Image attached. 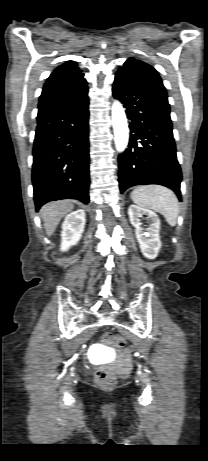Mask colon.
<instances>
[{
  "mask_svg": "<svg viewBox=\"0 0 208 461\" xmlns=\"http://www.w3.org/2000/svg\"><path fill=\"white\" fill-rule=\"evenodd\" d=\"M102 340L106 344H112L119 348H124L126 346V340L123 337L112 333H105L102 336ZM95 381L98 386L108 388L115 384L116 374L112 369L101 368L95 373Z\"/></svg>",
  "mask_w": 208,
  "mask_h": 461,
  "instance_id": "5ec220e1",
  "label": "colon"
}]
</instances>
